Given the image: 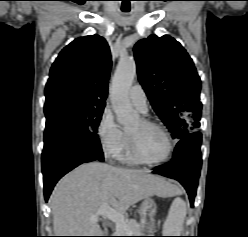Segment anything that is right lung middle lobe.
Returning <instances> with one entry per match:
<instances>
[{
    "label": "right lung middle lobe",
    "instance_id": "dd1d6c3e",
    "mask_svg": "<svg viewBox=\"0 0 248 237\" xmlns=\"http://www.w3.org/2000/svg\"><path fill=\"white\" fill-rule=\"evenodd\" d=\"M105 103L62 97L46 101V129L61 128L82 133H97Z\"/></svg>",
    "mask_w": 248,
    "mask_h": 237
}]
</instances>
